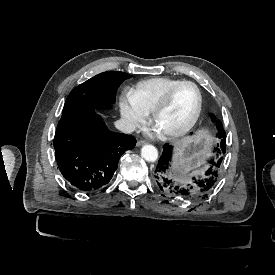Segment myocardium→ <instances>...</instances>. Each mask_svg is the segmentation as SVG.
Listing matches in <instances>:
<instances>
[{"mask_svg":"<svg viewBox=\"0 0 275 275\" xmlns=\"http://www.w3.org/2000/svg\"><path fill=\"white\" fill-rule=\"evenodd\" d=\"M182 84H191L195 87L197 96H198L197 107L195 109L193 116L191 117V119L188 121L187 124H185L183 127H181L178 130L169 131V132L164 133V135L169 138H176V137H179V136H182V135L188 133L194 127L196 122L198 121L201 111H202L203 96H202V92H201V89L199 88V86L191 80H179V81H176L175 83H173L165 91L164 95L162 96V98L160 99V101L158 102L156 107L154 108L153 113H152L153 125H154V121H155L156 117L168 106L169 101H170L175 89Z\"/></svg>","mask_w":275,"mask_h":275,"instance_id":"f54148a6","label":"myocardium"}]
</instances>
